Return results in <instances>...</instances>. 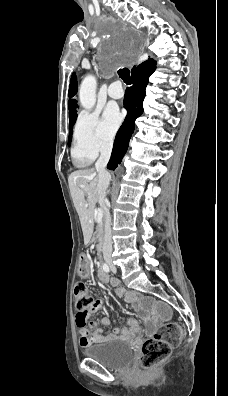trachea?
Masks as SVG:
<instances>
[{"mask_svg": "<svg viewBox=\"0 0 228 396\" xmlns=\"http://www.w3.org/2000/svg\"><path fill=\"white\" fill-rule=\"evenodd\" d=\"M119 77L124 81V83L131 84L130 71L128 68H122L118 71Z\"/></svg>", "mask_w": 228, "mask_h": 396, "instance_id": "obj_1", "label": "trachea"}]
</instances>
